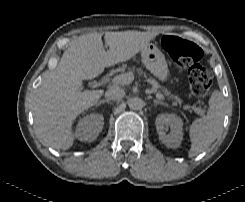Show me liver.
<instances>
[{
	"instance_id": "6515ba94",
	"label": "liver",
	"mask_w": 245,
	"mask_h": 202,
	"mask_svg": "<svg viewBox=\"0 0 245 202\" xmlns=\"http://www.w3.org/2000/svg\"><path fill=\"white\" fill-rule=\"evenodd\" d=\"M156 35L139 31L106 32L108 51L104 49L102 34L97 32L70 42L35 95L34 124L41 139L57 150L72 147L74 120L103 95L102 90L82 91V81L97 77L106 67L130 60Z\"/></svg>"
}]
</instances>
